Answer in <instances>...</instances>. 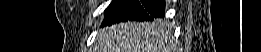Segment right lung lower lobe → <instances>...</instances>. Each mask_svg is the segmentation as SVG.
Wrapping results in <instances>:
<instances>
[{
    "label": "right lung lower lobe",
    "instance_id": "obj_1",
    "mask_svg": "<svg viewBox=\"0 0 261 52\" xmlns=\"http://www.w3.org/2000/svg\"><path fill=\"white\" fill-rule=\"evenodd\" d=\"M164 0H114L105 10L103 25L127 20H153L164 17Z\"/></svg>",
    "mask_w": 261,
    "mask_h": 52
}]
</instances>
